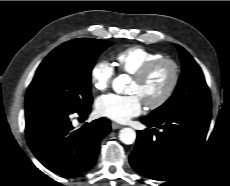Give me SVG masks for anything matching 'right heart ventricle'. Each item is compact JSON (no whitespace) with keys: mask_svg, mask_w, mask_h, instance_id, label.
Listing matches in <instances>:
<instances>
[{"mask_svg":"<svg viewBox=\"0 0 230 186\" xmlns=\"http://www.w3.org/2000/svg\"><path fill=\"white\" fill-rule=\"evenodd\" d=\"M162 57L163 55L157 51L142 46H131L116 54L115 65L120 71L135 75L145 65Z\"/></svg>","mask_w":230,"mask_h":186,"instance_id":"right-heart-ventricle-1","label":"right heart ventricle"}]
</instances>
